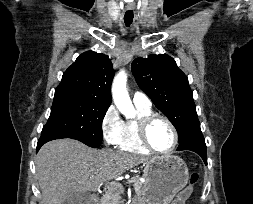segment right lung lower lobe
I'll list each match as a JSON object with an SVG mask.
<instances>
[{"label": "right lung lower lobe", "mask_w": 253, "mask_h": 204, "mask_svg": "<svg viewBox=\"0 0 253 204\" xmlns=\"http://www.w3.org/2000/svg\"><path fill=\"white\" fill-rule=\"evenodd\" d=\"M54 139H59V138L56 136H41L40 139L38 140L36 151H38L43 144Z\"/></svg>", "instance_id": "obj_1"}]
</instances>
